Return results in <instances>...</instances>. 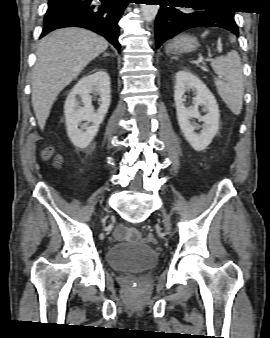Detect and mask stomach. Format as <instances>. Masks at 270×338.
I'll return each instance as SVG.
<instances>
[{
    "mask_svg": "<svg viewBox=\"0 0 270 338\" xmlns=\"http://www.w3.org/2000/svg\"><path fill=\"white\" fill-rule=\"evenodd\" d=\"M199 46L196 37L192 35L182 34L175 37L167 46L166 52L174 55L190 53L195 51Z\"/></svg>",
    "mask_w": 270,
    "mask_h": 338,
    "instance_id": "stomach-1",
    "label": "stomach"
}]
</instances>
